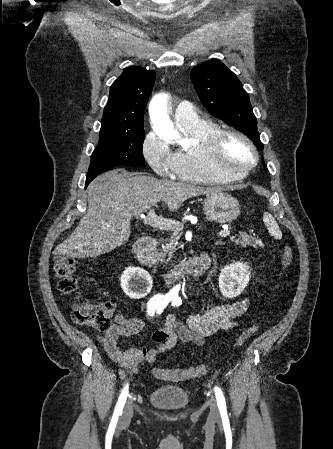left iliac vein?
<instances>
[{"label":"left iliac vein","mask_w":333,"mask_h":449,"mask_svg":"<svg viewBox=\"0 0 333 449\" xmlns=\"http://www.w3.org/2000/svg\"><path fill=\"white\" fill-rule=\"evenodd\" d=\"M209 418L213 421H218L220 419V413H219L215 399H211V402H210Z\"/></svg>","instance_id":"obj_1"}]
</instances>
